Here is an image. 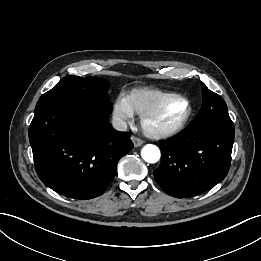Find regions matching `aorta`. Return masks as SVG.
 I'll use <instances>...</instances> for the list:
<instances>
[{
  "instance_id": "762f6f07",
  "label": "aorta",
  "mask_w": 261,
  "mask_h": 261,
  "mask_svg": "<svg viewBox=\"0 0 261 261\" xmlns=\"http://www.w3.org/2000/svg\"><path fill=\"white\" fill-rule=\"evenodd\" d=\"M141 156L145 162L156 163L160 159V150L156 145L147 144L141 151Z\"/></svg>"
}]
</instances>
